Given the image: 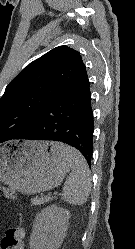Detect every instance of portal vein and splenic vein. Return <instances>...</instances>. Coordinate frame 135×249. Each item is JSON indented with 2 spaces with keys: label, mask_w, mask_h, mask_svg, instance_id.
Returning <instances> with one entry per match:
<instances>
[{
  "label": "portal vein and splenic vein",
  "mask_w": 135,
  "mask_h": 249,
  "mask_svg": "<svg viewBox=\"0 0 135 249\" xmlns=\"http://www.w3.org/2000/svg\"><path fill=\"white\" fill-rule=\"evenodd\" d=\"M54 194L56 195V194H58V192H54Z\"/></svg>",
  "instance_id": "18ae733b"
}]
</instances>
